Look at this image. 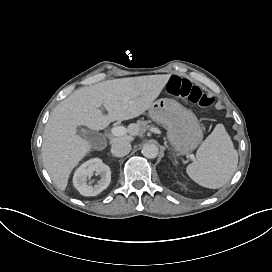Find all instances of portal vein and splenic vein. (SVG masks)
<instances>
[{
    "mask_svg": "<svg viewBox=\"0 0 272 272\" xmlns=\"http://www.w3.org/2000/svg\"><path fill=\"white\" fill-rule=\"evenodd\" d=\"M126 133V129L125 127L122 126H115L111 128V134L113 136H123ZM191 158L193 159V161H196V158L194 156H191Z\"/></svg>",
    "mask_w": 272,
    "mask_h": 272,
    "instance_id": "obj_1",
    "label": "portal vein and splenic vein"
}]
</instances>
